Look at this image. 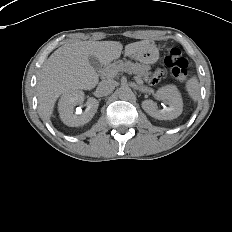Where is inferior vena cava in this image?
<instances>
[{"mask_svg": "<svg viewBox=\"0 0 232 232\" xmlns=\"http://www.w3.org/2000/svg\"><path fill=\"white\" fill-rule=\"evenodd\" d=\"M115 85V81L113 80H103L98 84L96 93L98 96H107L113 92Z\"/></svg>", "mask_w": 232, "mask_h": 232, "instance_id": "1", "label": "inferior vena cava"}]
</instances>
